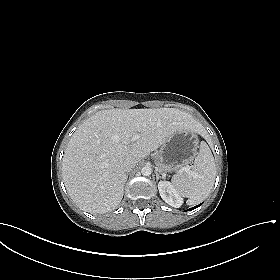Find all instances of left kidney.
Returning a JSON list of instances; mask_svg holds the SVG:
<instances>
[{
	"label": "left kidney",
	"mask_w": 280,
	"mask_h": 280,
	"mask_svg": "<svg viewBox=\"0 0 280 280\" xmlns=\"http://www.w3.org/2000/svg\"><path fill=\"white\" fill-rule=\"evenodd\" d=\"M158 189L161 198L167 204L175 208H179L182 205L183 199L172 183L168 181H160L158 183Z\"/></svg>",
	"instance_id": "1"
}]
</instances>
